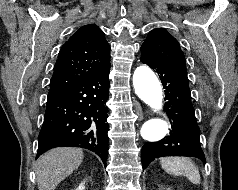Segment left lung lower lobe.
I'll list each match as a JSON object with an SVG mask.
<instances>
[{"label": "left lung lower lobe", "instance_id": "0a47b994", "mask_svg": "<svg viewBox=\"0 0 238 190\" xmlns=\"http://www.w3.org/2000/svg\"><path fill=\"white\" fill-rule=\"evenodd\" d=\"M140 60L159 74L165 88L166 112L171 119V131L167 137L143 146V169L155 158L164 156L196 157L205 162L186 67L158 62L142 55Z\"/></svg>", "mask_w": 238, "mask_h": 190}]
</instances>
